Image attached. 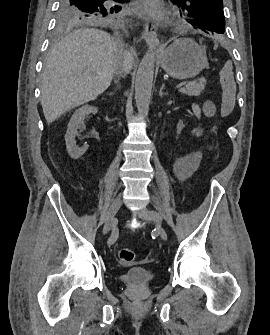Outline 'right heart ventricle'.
<instances>
[{
    "label": "right heart ventricle",
    "mask_w": 270,
    "mask_h": 335,
    "mask_svg": "<svg viewBox=\"0 0 270 335\" xmlns=\"http://www.w3.org/2000/svg\"><path fill=\"white\" fill-rule=\"evenodd\" d=\"M135 78H144V77H135ZM135 78H134V81H135Z\"/></svg>",
    "instance_id": "e07e8e85"
}]
</instances>
